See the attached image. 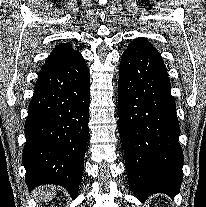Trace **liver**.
Listing matches in <instances>:
<instances>
[{
	"label": "liver",
	"mask_w": 206,
	"mask_h": 207,
	"mask_svg": "<svg viewBox=\"0 0 206 207\" xmlns=\"http://www.w3.org/2000/svg\"><path fill=\"white\" fill-rule=\"evenodd\" d=\"M35 196H39L42 200H51L56 195V188L53 186L39 187L34 192Z\"/></svg>",
	"instance_id": "obj_1"
}]
</instances>
